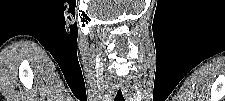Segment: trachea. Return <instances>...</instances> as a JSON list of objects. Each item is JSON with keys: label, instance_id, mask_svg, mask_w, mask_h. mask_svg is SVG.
<instances>
[{"label": "trachea", "instance_id": "obj_1", "mask_svg": "<svg viewBox=\"0 0 225 101\" xmlns=\"http://www.w3.org/2000/svg\"><path fill=\"white\" fill-rule=\"evenodd\" d=\"M114 101H125L120 89L118 90L117 95H116Z\"/></svg>", "mask_w": 225, "mask_h": 101}]
</instances>
